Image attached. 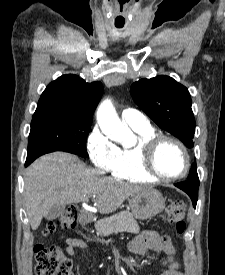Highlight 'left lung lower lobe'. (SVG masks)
<instances>
[{
  "mask_svg": "<svg viewBox=\"0 0 225 275\" xmlns=\"http://www.w3.org/2000/svg\"><path fill=\"white\" fill-rule=\"evenodd\" d=\"M175 186L186 192L190 196L193 206L196 207L198 199L199 182L187 180L181 183H177L175 184Z\"/></svg>",
  "mask_w": 225,
  "mask_h": 275,
  "instance_id": "1",
  "label": "left lung lower lobe"
}]
</instances>
